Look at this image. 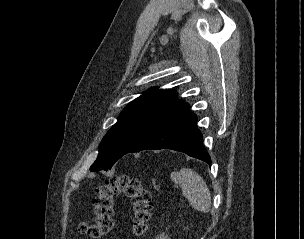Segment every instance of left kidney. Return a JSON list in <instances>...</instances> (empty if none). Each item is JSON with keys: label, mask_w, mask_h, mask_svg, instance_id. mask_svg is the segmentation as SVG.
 Returning <instances> with one entry per match:
<instances>
[{"label": "left kidney", "mask_w": 304, "mask_h": 239, "mask_svg": "<svg viewBox=\"0 0 304 239\" xmlns=\"http://www.w3.org/2000/svg\"><path fill=\"white\" fill-rule=\"evenodd\" d=\"M155 239H170V238L167 235H165L164 233H162L159 236H157Z\"/></svg>", "instance_id": "5707ae66"}]
</instances>
